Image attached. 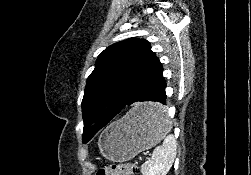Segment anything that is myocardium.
<instances>
[{"mask_svg": "<svg viewBox=\"0 0 251 175\" xmlns=\"http://www.w3.org/2000/svg\"><path fill=\"white\" fill-rule=\"evenodd\" d=\"M100 115H101V113L98 112V113L95 114V117L98 118V117H100Z\"/></svg>", "mask_w": 251, "mask_h": 175, "instance_id": "1", "label": "myocardium"}]
</instances>
